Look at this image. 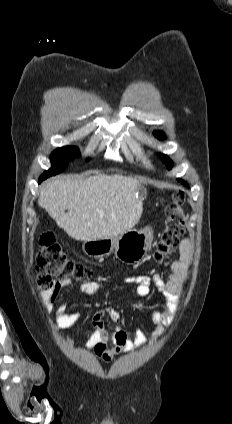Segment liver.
Here are the masks:
<instances>
[{
  "label": "liver",
  "mask_w": 232,
  "mask_h": 424,
  "mask_svg": "<svg viewBox=\"0 0 232 424\" xmlns=\"http://www.w3.org/2000/svg\"><path fill=\"white\" fill-rule=\"evenodd\" d=\"M141 189L136 179L122 175L58 176L43 184L38 205L75 240L111 238L138 223L145 195Z\"/></svg>",
  "instance_id": "6515ba94"
}]
</instances>
